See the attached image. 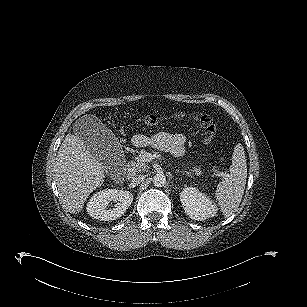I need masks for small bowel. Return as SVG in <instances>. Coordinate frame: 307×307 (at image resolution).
Masks as SVG:
<instances>
[{
  "mask_svg": "<svg viewBox=\"0 0 307 307\" xmlns=\"http://www.w3.org/2000/svg\"><path fill=\"white\" fill-rule=\"evenodd\" d=\"M156 142L164 149L170 151L176 156L184 153L183 141L181 138L168 133H160L156 136Z\"/></svg>",
  "mask_w": 307,
  "mask_h": 307,
  "instance_id": "small-bowel-1",
  "label": "small bowel"
}]
</instances>
